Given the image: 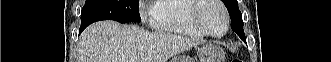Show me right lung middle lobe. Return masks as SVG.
Here are the masks:
<instances>
[{
	"instance_id": "obj_1",
	"label": "right lung middle lobe",
	"mask_w": 331,
	"mask_h": 62,
	"mask_svg": "<svg viewBox=\"0 0 331 62\" xmlns=\"http://www.w3.org/2000/svg\"><path fill=\"white\" fill-rule=\"evenodd\" d=\"M111 19L139 22L138 0H86L81 12L80 32L93 22Z\"/></svg>"
}]
</instances>
